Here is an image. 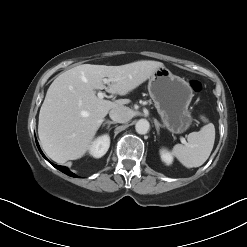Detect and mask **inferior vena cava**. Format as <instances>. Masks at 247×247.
Returning a JSON list of instances; mask_svg holds the SVG:
<instances>
[{"instance_id":"602c4592","label":"inferior vena cava","mask_w":247,"mask_h":247,"mask_svg":"<svg viewBox=\"0 0 247 247\" xmlns=\"http://www.w3.org/2000/svg\"><path fill=\"white\" fill-rule=\"evenodd\" d=\"M110 118L116 123H126L132 118V111L126 106L113 108L109 112Z\"/></svg>"}]
</instances>
